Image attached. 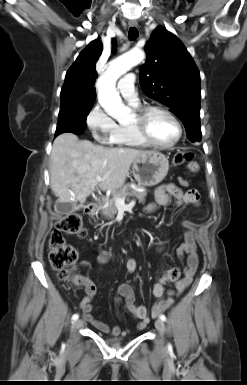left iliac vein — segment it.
Wrapping results in <instances>:
<instances>
[{"label":"left iliac vein","instance_id":"1","mask_svg":"<svg viewBox=\"0 0 247 385\" xmlns=\"http://www.w3.org/2000/svg\"><path fill=\"white\" fill-rule=\"evenodd\" d=\"M155 327L156 329L158 330V332L163 336L164 333H165V324H164V321H162L161 319H157L155 321Z\"/></svg>","mask_w":247,"mask_h":385}]
</instances>
